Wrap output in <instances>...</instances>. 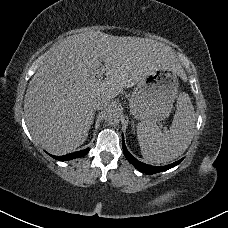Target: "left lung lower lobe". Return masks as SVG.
<instances>
[{"label":"left lung lower lobe","mask_w":228,"mask_h":228,"mask_svg":"<svg viewBox=\"0 0 228 228\" xmlns=\"http://www.w3.org/2000/svg\"><path fill=\"white\" fill-rule=\"evenodd\" d=\"M122 140H123V152L124 155L126 156V159L135 166V168L141 172H144L146 174H155V173H159L162 171H166L168 169H171L175 166H177L179 163H181V161L184 159H180L172 164L169 165H165V166H151V165H147L143 162L138 161L135 157H133L129 151L127 150L125 143H124V137L122 136Z\"/></svg>","instance_id":"left-lung-lower-lobe-1"}]
</instances>
